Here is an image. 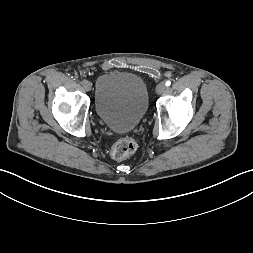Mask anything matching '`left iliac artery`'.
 <instances>
[{"mask_svg":"<svg viewBox=\"0 0 253 253\" xmlns=\"http://www.w3.org/2000/svg\"><path fill=\"white\" fill-rule=\"evenodd\" d=\"M170 84H171V82L169 80L166 81V83H165L166 86H170Z\"/></svg>","mask_w":253,"mask_h":253,"instance_id":"1","label":"left iliac artery"}]
</instances>
